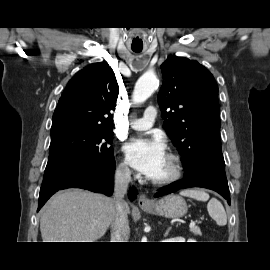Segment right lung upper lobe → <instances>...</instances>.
<instances>
[{
  "label": "right lung upper lobe",
  "mask_w": 270,
  "mask_h": 270,
  "mask_svg": "<svg viewBox=\"0 0 270 270\" xmlns=\"http://www.w3.org/2000/svg\"><path fill=\"white\" fill-rule=\"evenodd\" d=\"M119 93L115 74L107 62L91 64L67 84L53 114L52 128L65 124L112 128Z\"/></svg>",
  "instance_id": "1"
}]
</instances>
